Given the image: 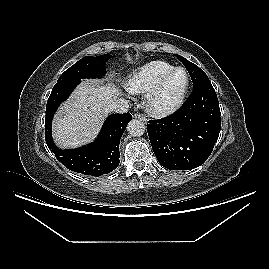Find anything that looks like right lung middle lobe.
<instances>
[{
  "label": "right lung middle lobe",
  "instance_id": "right-lung-middle-lobe-1",
  "mask_svg": "<svg viewBox=\"0 0 269 269\" xmlns=\"http://www.w3.org/2000/svg\"><path fill=\"white\" fill-rule=\"evenodd\" d=\"M109 54L98 57L86 56L67 69L58 81L68 78H101L106 73L105 63L109 60Z\"/></svg>",
  "mask_w": 269,
  "mask_h": 269
}]
</instances>
